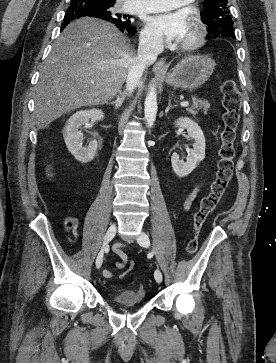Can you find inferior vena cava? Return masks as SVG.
Masks as SVG:
<instances>
[{"mask_svg":"<svg viewBox=\"0 0 276 363\" xmlns=\"http://www.w3.org/2000/svg\"><path fill=\"white\" fill-rule=\"evenodd\" d=\"M163 51V38L157 34H144L139 39L137 56L129 63L126 93H131L140 83L144 70L152 65Z\"/></svg>","mask_w":276,"mask_h":363,"instance_id":"1","label":"inferior vena cava"}]
</instances>
